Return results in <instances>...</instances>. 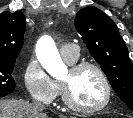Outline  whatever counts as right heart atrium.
I'll return each mask as SVG.
<instances>
[{"instance_id":"right-heart-atrium-1","label":"right heart atrium","mask_w":133,"mask_h":118,"mask_svg":"<svg viewBox=\"0 0 133 118\" xmlns=\"http://www.w3.org/2000/svg\"><path fill=\"white\" fill-rule=\"evenodd\" d=\"M23 79L29 95L37 101L49 104L59 94L57 82L47 74L34 57L27 61Z\"/></svg>"}]
</instances>
